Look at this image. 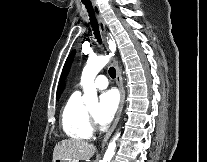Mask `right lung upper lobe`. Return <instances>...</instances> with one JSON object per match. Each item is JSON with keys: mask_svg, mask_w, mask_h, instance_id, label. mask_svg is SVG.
I'll return each mask as SVG.
<instances>
[{"mask_svg": "<svg viewBox=\"0 0 207 162\" xmlns=\"http://www.w3.org/2000/svg\"><path fill=\"white\" fill-rule=\"evenodd\" d=\"M59 96V90H58V92H57V97Z\"/></svg>", "mask_w": 207, "mask_h": 162, "instance_id": "right-lung-upper-lobe-1", "label": "right lung upper lobe"}]
</instances>
